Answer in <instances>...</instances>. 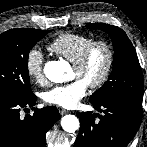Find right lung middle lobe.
<instances>
[{
  "label": "right lung middle lobe",
  "instance_id": "right-lung-middle-lobe-1",
  "mask_svg": "<svg viewBox=\"0 0 147 147\" xmlns=\"http://www.w3.org/2000/svg\"><path fill=\"white\" fill-rule=\"evenodd\" d=\"M48 31L16 28L0 35V99L27 98L31 91L28 54Z\"/></svg>",
  "mask_w": 147,
  "mask_h": 147
}]
</instances>
